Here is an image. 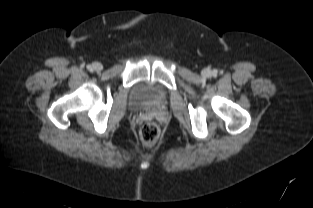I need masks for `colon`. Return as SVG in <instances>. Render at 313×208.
I'll return each instance as SVG.
<instances>
[{
	"label": "colon",
	"instance_id": "colon-1",
	"mask_svg": "<svg viewBox=\"0 0 313 208\" xmlns=\"http://www.w3.org/2000/svg\"><path fill=\"white\" fill-rule=\"evenodd\" d=\"M159 136L160 127L154 122H147L140 129V138L145 146L153 145Z\"/></svg>",
	"mask_w": 313,
	"mask_h": 208
}]
</instances>
